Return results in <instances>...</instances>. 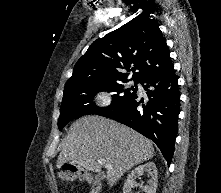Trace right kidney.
<instances>
[{"mask_svg":"<svg viewBox=\"0 0 221 193\" xmlns=\"http://www.w3.org/2000/svg\"><path fill=\"white\" fill-rule=\"evenodd\" d=\"M145 172L148 173L150 179L148 180L147 185L140 186L143 188L145 193H156L157 188V168L155 163L147 162L143 165L136 167L132 172L128 175L127 180L123 186V193H131L132 188L138 186L136 179L142 176Z\"/></svg>","mask_w":221,"mask_h":193,"instance_id":"right-kidney-1","label":"right kidney"}]
</instances>
